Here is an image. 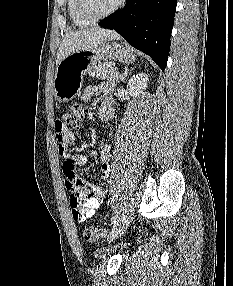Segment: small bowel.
I'll use <instances>...</instances> for the list:
<instances>
[{
  "label": "small bowel",
  "mask_w": 233,
  "mask_h": 286,
  "mask_svg": "<svg viewBox=\"0 0 233 286\" xmlns=\"http://www.w3.org/2000/svg\"><path fill=\"white\" fill-rule=\"evenodd\" d=\"M112 86L102 84L98 86H87L81 94L83 101H89L96 95L103 96V103L98 110L100 119H110L114 114L113 98L111 95ZM55 134L58 144V153L62 158V171L64 182L70 195L74 193L80 200L81 205L74 207L71 202V214L76 221H85L94 215L99 207L101 200L105 196V191L92 183H89L78 176L79 167L87 163V157L84 154L70 153L68 146L74 143V135L69 128L60 121L55 122ZM99 156L101 161V178L107 179L110 175V147L103 143L99 147Z\"/></svg>",
  "instance_id": "1"
}]
</instances>
